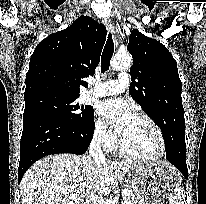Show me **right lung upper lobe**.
<instances>
[{
  "label": "right lung upper lobe",
  "instance_id": "right-lung-upper-lobe-1",
  "mask_svg": "<svg viewBox=\"0 0 206 204\" xmlns=\"http://www.w3.org/2000/svg\"><path fill=\"white\" fill-rule=\"evenodd\" d=\"M105 39V26L87 16L49 35L30 59L24 98L41 93L79 96L81 78L94 74Z\"/></svg>",
  "mask_w": 206,
  "mask_h": 204
}]
</instances>
